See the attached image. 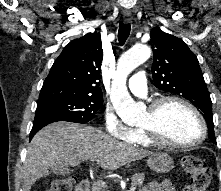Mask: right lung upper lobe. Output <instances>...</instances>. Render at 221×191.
<instances>
[{
	"label": "right lung upper lobe",
	"mask_w": 221,
	"mask_h": 191,
	"mask_svg": "<svg viewBox=\"0 0 221 191\" xmlns=\"http://www.w3.org/2000/svg\"><path fill=\"white\" fill-rule=\"evenodd\" d=\"M102 59L99 33H88L71 41L54 62L43 83L38 101L77 97L103 98L99 83Z\"/></svg>",
	"instance_id": "1"
}]
</instances>
